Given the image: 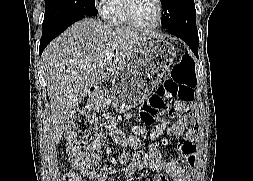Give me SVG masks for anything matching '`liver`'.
<instances>
[{"label":"liver","instance_id":"1","mask_svg":"<svg viewBox=\"0 0 253 181\" xmlns=\"http://www.w3.org/2000/svg\"><path fill=\"white\" fill-rule=\"evenodd\" d=\"M155 34L141 29L83 19L52 41L42 54L51 103L52 141L62 138L70 115L90 88L117 74L133 53ZM107 52L115 53L111 59Z\"/></svg>","mask_w":253,"mask_h":181}]
</instances>
